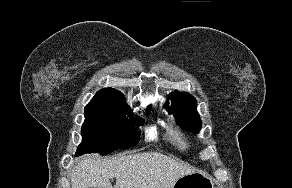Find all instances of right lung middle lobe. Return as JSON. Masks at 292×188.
I'll use <instances>...</instances> for the list:
<instances>
[{
	"mask_svg": "<svg viewBox=\"0 0 292 188\" xmlns=\"http://www.w3.org/2000/svg\"><path fill=\"white\" fill-rule=\"evenodd\" d=\"M150 111L151 108L147 109V113ZM143 123L140 117L134 118L122 93L99 91L85 107V122L81 130L83 140L76 155L108 154L132 147L138 143L140 134L135 132L134 125L137 129Z\"/></svg>",
	"mask_w": 292,
	"mask_h": 188,
	"instance_id": "obj_1",
	"label": "right lung middle lobe"
}]
</instances>
